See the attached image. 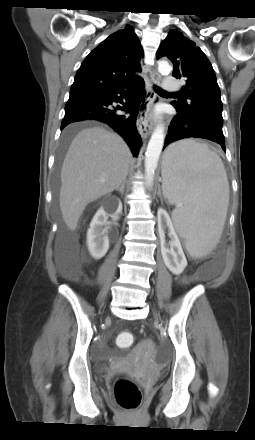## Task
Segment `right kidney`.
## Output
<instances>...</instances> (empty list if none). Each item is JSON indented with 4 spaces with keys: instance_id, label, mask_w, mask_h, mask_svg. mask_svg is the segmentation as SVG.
Listing matches in <instances>:
<instances>
[{
    "instance_id": "1",
    "label": "right kidney",
    "mask_w": 255,
    "mask_h": 440,
    "mask_svg": "<svg viewBox=\"0 0 255 440\" xmlns=\"http://www.w3.org/2000/svg\"><path fill=\"white\" fill-rule=\"evenodd\" d=\"M121 212L122 203L118 200L113 217H118ZM107 218L106 211L101 207L94 215L90 223V228L87 231V246L94 259H101L109 249V240L108 237L105 236L104 228Z\"/></svg>"
}]
</instances>
